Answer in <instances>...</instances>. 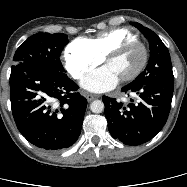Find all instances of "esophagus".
I'll use <instances>...</instances> for the list:
<instances>
[{
  "mask_svg": "<svg viewBox=\"0 0 187 187\" xmlns=\"http://www.w3.org/2000/svg\"><path fill=\"white\" fill-rule=\"evenodd\" d=\"M83 96L89 101H93L94 99H97L99 98L98 95H95V94H91V93H88V92H82Z\"/></svg>",
  "mask_w": 187,
  "mask_h": 187,
  "instance_id": "34e87169",
  "label": "esophagus"
}]
</instances>
